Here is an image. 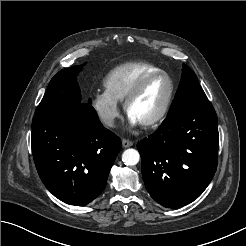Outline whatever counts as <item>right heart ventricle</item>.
<instances>
[{"label":"right heart ventricle","mask_w":246,"mask_h":246,"mask_svg":"<svg viewBox=\"0 0 246 246\" xmlns=\"http://www.w3.org/2000/svg\"><path fill=\"white\" fill-rule=\"evenodd\" d=\"M161 70L149 62H127L113 68L104 79L105 91L117 102H123L145 75Z\"/></svg>","instance_id":"obj_1"}]
</instances>
